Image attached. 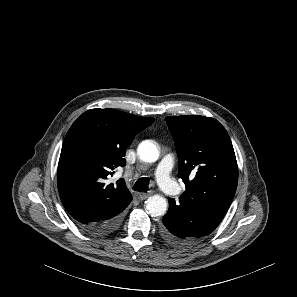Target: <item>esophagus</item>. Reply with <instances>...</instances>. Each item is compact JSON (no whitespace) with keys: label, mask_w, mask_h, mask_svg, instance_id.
<instances>
[{"label":"esophagus","mask_w":297,"mask_h":297,"mask_svg":"<svg viewBox=\"0 0 297 297\" xmlns=\"http://www.w3.org/2000/svg\"><path fill=\"white\" fill-rule=\"evenodd\" d=\"M151 195H152V193H150V192H142V193H138V198L140 200H145L148 197H150Z\"/></svg>","instance_id":"obj_1"}]
</instances>
